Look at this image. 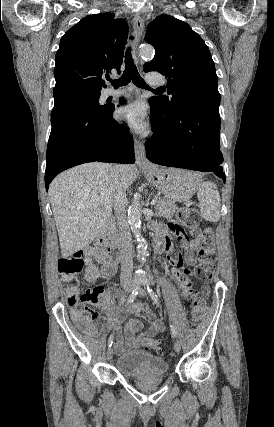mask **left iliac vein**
<instances>
[{"label":"left iliac vein","instance_id":"4c4485c4","mask_svg":"<svg viewBox=\"0 0 274 427\" xmlns=\"http://www.w3.org/2000/svg\"><path fill=\"white\" fill-rule=\"evenodd\" d=\"M131 283H133V281L131 280ZM140 296H145V294H146V291L145 290H143V289H140ZM174 350H175V352L176 353H180V350H181V344H180V341L178 340V339H176L175 341H174Z\"/></svg>","mask_w":274,"mask_h":427}]
</instances>
